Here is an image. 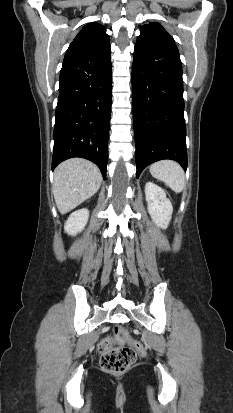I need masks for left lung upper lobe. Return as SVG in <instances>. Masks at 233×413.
Here are the masks:
<instances>
[{"label": "left lung upper lobe", "mask_w": 233, "mask_h": 413, "mask_svg": "<svg viewBox=\"0 0 233 413\" xmlns=\"http://www.w3.org/2000/svg\"><path fill=\"white\" fill-rule=\"evenodd\" d=\"M149 37H161L174 43L172 36L160 24L154 22H150L142 27L137 41H142Z\"/></svg>", "instance_id": "5c2ea615"}]
</instances>
